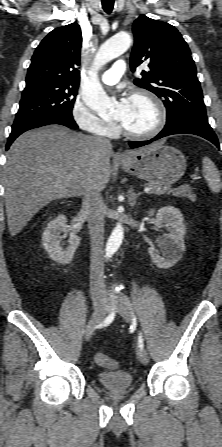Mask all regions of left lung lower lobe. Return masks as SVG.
<instances>
[{"mask_svg": "<svg viewBox=\"0 0 222 447\" xmlns=\"http://www.w3.org/2000/svg\"><path fill=\"white\" fill-rule=\"evenodd\" d=\"M173 134L198 135L209 140L219 148V142L217 136L215 135L209 124L203 123L201 121L186 116H180L171 122H167L164 129L153 139L148 141L130 142L129 145L132 148H137L147 145L165 136Z\"/></svg>", "mask_w": 222, "mask_h": 447, "instance_id": "0a47b994", "label": "left lung lower lobe"}]
</instances>
